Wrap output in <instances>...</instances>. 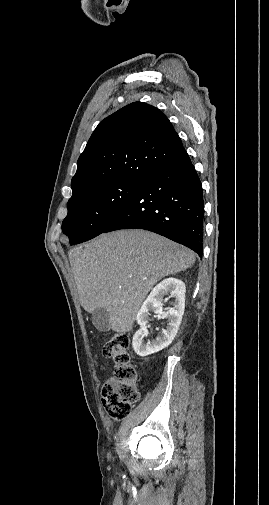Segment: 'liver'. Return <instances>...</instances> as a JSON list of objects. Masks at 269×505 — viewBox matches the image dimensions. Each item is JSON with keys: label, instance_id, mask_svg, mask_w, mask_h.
Instances as JSON below:
<instances>
[{"label": "liver", "instance_id": "liver-1", "mask_svg": "<svg viewBox=\"0 0 269 505\" xmlns=\"http://www.w3.org/2000/svg\"><path fill=\"white\" fill-rule=\"evenodd\" d=\"M81 306L88 313L104 308L110 328L131 331L142 302L162 278L195 261L188 248L144 230H119L68 253Z\"/></svg>", "mask_w": 269, "mask_h": 505}]
</instances>
